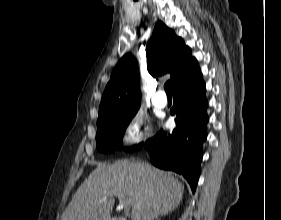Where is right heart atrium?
<instances>
[{
  "mask_svg": "<svg viewBox=\"0 0 281 220\" xmlns=\"http://www.w3.org/2000/svg\"><path fill=\"white\" fill-rule=\"evenodd\" d=\"M153 132L148 117L137 111L131 115L124 125L123 141L128 145H139L151 140Z\"/></svg>",
  "mask_w": 281,
  "mask_h": 220,
  "instance_id": "obj_1",
  "label": "right heart atrium"
}]
</instances>
